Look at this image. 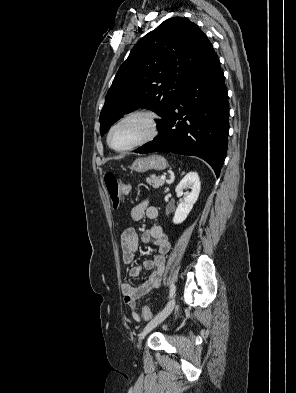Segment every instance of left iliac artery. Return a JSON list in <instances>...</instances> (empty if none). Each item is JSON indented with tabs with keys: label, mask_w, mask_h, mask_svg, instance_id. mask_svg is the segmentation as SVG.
Masks as SVG:
<instances>
[{
	"label": "left iliac artery",
	"mask_w": 296,
	"mask_h": 393,
	"mask_svg": "<svg viewBox=\"0 0 296 393\" xmlns=\"http://www.w3.org/2000/svg\"><path fill=\"white\" fill-rule=\"evenodd\" d=\"M176 292V286L174 282L170 283L169 298L173 297Z\"/></svg>",
	"instance_id": "1"
}]
</instances>
